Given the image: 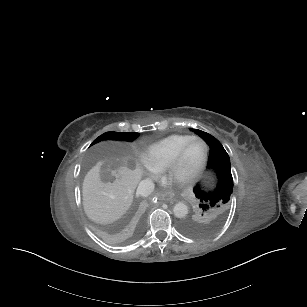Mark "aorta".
Returning <instances> with one entry per match:
<instances>
[{"mask_svg":"<svg viewBox=\"0 0 307 307\" xmlns=\"http://www.w3.org/2000/svg\"><path fill=\"white\" fill-rule=\"evenodd\" d=\"M173 212L177 218H184L188 214V207L183 202H178L175 204Z\"/></svg>","mask_w":307,"mask_h":307,"instance_id":"aorta-1","label":"aorta"}]
</instances>
